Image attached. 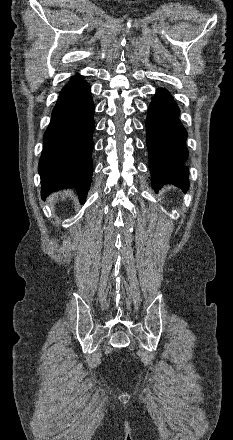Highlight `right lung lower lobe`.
<instances>
[{"mask_svg": "<svg viewBox=\"0 0 233 440\" xmlns=\"http://www.w3.org/2000/svg\"><path fill=\"white\" fill-rule=\"evenodd\" d=\"M94 109L90 86L75 76L61 90L44 134L38 167L43 198L69 187L86 197L93 172Z\"/></svg>", "mask_w": 233, "mask_h": 440, "instance_id": "98d812e1", "label": "right lung lower lobe"}]
</instances>
